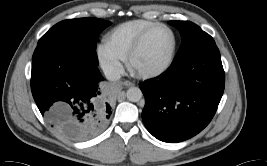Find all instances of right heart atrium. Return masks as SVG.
Wrapping results in <instances>:
<instances>
[{
  "mask_svg": "<svg viewBox=\"0 0 267 166\" xmlns=\"http://www.w3.org/2000/svg\"><path fill=\"white\" fill-rule=\"evenodd\" d=\"M96 55L101 66L109 76L114 77L120 73L123 59L108 43L97 45Z\"/></svg>",
  "mask_w": 267,
  "mask_h": 166,
  "instance_id": "obj_1",
  "label": "right heart atrium"
}]
</instances>
